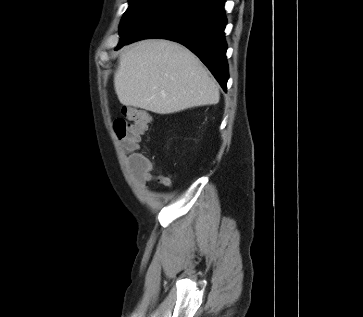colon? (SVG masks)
I'll return each mask as SVG.
<instances>
[{
  "instance_id": "1",
  "label": "colon",
  "mask_w": 363,
  "mask_h": 317,
  "mask_svg": "<svg viewBox=\"0 0 363 317\" xmlns=\"http://www.w3.org/2000/svg\"><path fill=\"white\" fill-rule=\"evenodd\" d=\"M150 122L151 117L146 111L133 107H124L122 116L114 121L115 135L121 142L123 150L129 154L132 166L142 165L145 161V155L140 153L138 148Z\"/></svg>"
}]
</instances>
